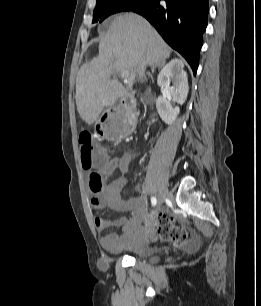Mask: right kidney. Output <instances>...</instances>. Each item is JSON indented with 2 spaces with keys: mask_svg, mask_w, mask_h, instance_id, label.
Masks as SVG:
<instances>
[{
  "mask_svg": "<svg viewBox=\"0 0 261 306\" xmlns=\"http://www.w3.org/2000/svg\"><path fill=\"white\" fill-rule=\"evenodd\" d=\"M183 63L178 59L171 60L161 69L157 83L164 89L165 95L159 96L156 101L157 111L161 119L171 125L179 114V107L171 105V99L178 104H183L189 91L187 73ZM172 81L173 85L170 86Z\"/></svg>",
  "mask_w": 261,
  "mask_h": 306,
  "instance_id": "right-kidney-1",
  "label": "right kidney"
}]
</instances>
